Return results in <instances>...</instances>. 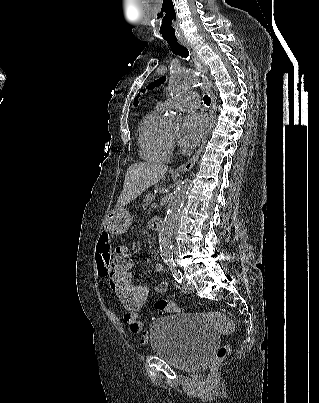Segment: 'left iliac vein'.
I'll list each match as a JSON object with an SVG mask.
<instances>
[{
  "label": "left iliac vein",
  "instance_id": "4c4485c4",
  "mask_svg": "<svg viewBox=\"0 0 319 403\" xmlns=\"http://www.w3.org/2000/svg\"><path fill=\"white\" fill-rule=\"evenodd\" d=\"M182 288L186 293L191 294L194 292V287L189 281L184 280L182 283Z\"/></svg>",
  "mask_w": 319,
  "mask_h": 403
}]
</instances>
